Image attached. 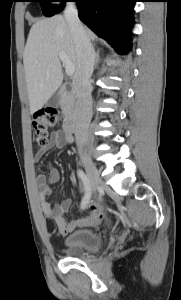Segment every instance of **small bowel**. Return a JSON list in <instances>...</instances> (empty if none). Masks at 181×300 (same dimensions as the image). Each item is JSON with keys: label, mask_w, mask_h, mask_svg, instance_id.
<instances>
[{"label": "small bowel", "mask_w": 181, "mask_h": 300, "mask_svg": "<svg viewBox=\"0 0 181 300\" xmlns=\"http://www.w3.org/2000/svg\"><path fill=\"white\" fill-rule=\"evenodd\" d=\"M74 138L71 134L62 130L53 132L46 146L41 147L35 155V160L39 161L45 153L51 148H61L67 144H73ZM60 180V172L56 168L49 167L48 174L41 173L36 177V183L40 188L39 198L41 209L46 219L52 221L61 235H67L76 228L94 226L103 218L102 211L100 213L91 212L73 221H67L64 217L72 205V200L64 199L60 204L52 205L48 197L52 193L51 186ZM85 196V195H84ZM84 199V197H83ZM82 199V202H83ZM81 202V204H82ZM88 204V203H87ZM86 207V206H85ZM84 209V208H83Z\"/></svg>", "instance_id": "obj_1"}]
</instances>
